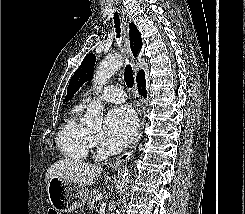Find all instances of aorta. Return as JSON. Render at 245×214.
I'll use <instances>...</instances> for the list:
<instances>
[{"label":"aorta","mask_w":245,"mask_h":214,"mask_svg":"<svg viewBox=\"0 0 245 214\" xmlns=\"http://www.w3.org/2000/svg\"><path fill=\"white\" fill-rule=\"evenodd\" d=\"M122 57L120 55H111L104 59L98 65L94 76H93V85L97 91H100L103 86H105L108 80L114 75V73L122 65ZM103 109L104 106L100 101H94L89 108L87 109L83 122L89 127L99 128L103 121ZM129 182V170L125 169L124 172L119 177L117 184V191L121 195L124 193Z\"/></svg>","instance_id":"1"}]
</instances>
